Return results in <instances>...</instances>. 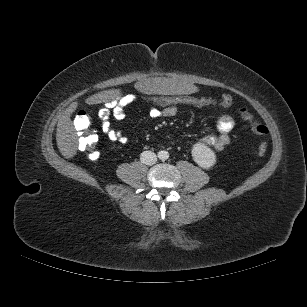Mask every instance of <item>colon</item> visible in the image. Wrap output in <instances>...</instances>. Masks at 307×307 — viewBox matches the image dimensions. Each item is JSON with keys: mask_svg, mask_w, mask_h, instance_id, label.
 Listing matches in <instances>:
<instances>
[{"mask_svg": "<svg viewBox=\"0 0 307 307\" xmlns=\"http://www.w3.org/2000/svg\"><path fill=\"white\" fill-rule=\"evenodd\" d=\"M142 101L151 107L165 108L168 106L190 105L195 107L205 106H221L228 107L232 105L233 98L230 94H223L219 98L203 95H166V96H147L142 98ZM239 114L246 122L249 123L252 130L258 135L265 136L269 133L268 128L261 122H258L250 110L241 105ZM91 119L87 112L80 111L74 119V126L78 131V143L82 151L86 152L89 158L97 159L98 152L96 149L98 143V135L91 131ZM266 144L261 142L258 144L256 153L262 156L265 153Z\"/></svg>", "mask_w": 307, "mask_h": 307, "instance_id": "colon-1", "label": "colon"}]
</instances>
